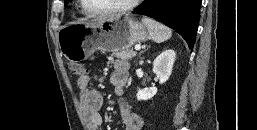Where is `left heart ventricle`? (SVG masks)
<instances>
[{
  "label": "left heart ventricle",
  "instance_id": "1",
  "mask_svg": "<svg viewBox=\"0 0 257 130\" xmlns=\"http://www.w3.org/2000/svg\"><path fill=\"white\" fill-rule=\"evenodd\" d=\"M130 0H86L88 7L93 11H104L126 4Z\"/></svg>",
  "mask_w": 257,
  "mask_h": 130
}]
</instances>
